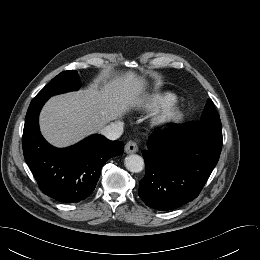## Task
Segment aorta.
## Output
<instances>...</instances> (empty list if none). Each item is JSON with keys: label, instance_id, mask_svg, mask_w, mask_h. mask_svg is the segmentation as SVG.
Wrapping results in <instances>:
<instances>
[{"label": "aorta", "instance_id": "762f6f07", "mask_svg": "<svg viewBox=\"0 0 260 260\" xmlns=\"http://www.w3.org/2000/svg\"><path fill=\"white\" fill-rule=\"evenodd\" d=\"M124 164L128 171L139 173L144 168V159L137 154H131L125 158Z\"/></svg>", "mask_w": 260, "mask_h": 260}]
</instances>
